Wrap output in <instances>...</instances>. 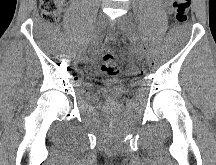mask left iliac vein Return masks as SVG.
<instances>
[{
    "mask_svg": "<svg viewBox=\"0 0 216 165\" xmlns=\"http://www.w3.org/2000/svg\"><path fill=\"white\" fill-rule=\"evenodd\" d=\"M117 24L132 42L135 55L139 59H142L144 56V48L131 18L123 15L117 20Z\"/></svg>",
    "mask_w": 216,
    "mask_h": 165,
    "instance_id": "1",
    "label": "left iliac vein"
}]
</instances>
